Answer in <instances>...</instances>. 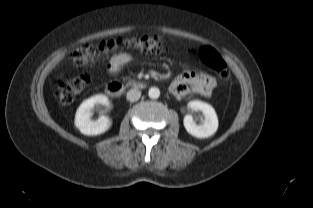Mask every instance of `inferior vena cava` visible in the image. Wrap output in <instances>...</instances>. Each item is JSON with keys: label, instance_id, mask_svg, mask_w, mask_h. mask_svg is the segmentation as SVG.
Instances as JSON below:
<instances>
[{"label": "inferior vena cava", "instance_id": "1", "mask_svg": "<svg viewBox=\"0 0 313 208\" xmlns=\"http://www.w3.org/2000/svg\"><path fill=\"white\" fill-rule=\"evenodd\" d=\"M141 97V92L138 89H131L127 92L126 98L130 102H135Z\"/></svg>", "mask_w": 313, "mask_h": 208}]
</instances>
